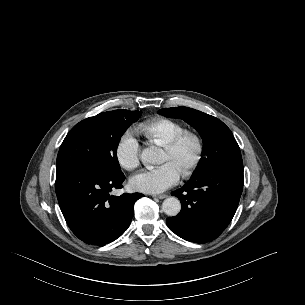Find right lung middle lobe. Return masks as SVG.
<instances>
[{"mask_svg": "<svg viewBox=\"0 0 305 305\" xmlns=\"http://www.w3.org/2000/svg\"><path fill=\"white\" fill-rule=\"evenodd\" d=\"M140 114L139 111L114 110L79 122L60 147L56 171L79 169L104 175L121 173L117 146L125 130Z\"/></svg>", "mask_w": 305, "mask_h": 305, "instance_id": "obj_1", "label": "right lung middle lobe"}]
</instances>
